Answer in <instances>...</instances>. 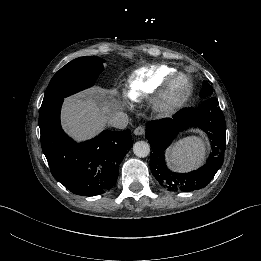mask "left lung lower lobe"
<instances>
[{
    "instance_id": "0a47b994",
    "label": "left lung lower lobe",
    "mask_w": 261,
    "mask_h": 261,
    "mask_svg": "<svg viewBox=\"0 0 261 261\" xmlns=\"http://www.w3.org/2000/svg\"><path fill=\"white\" fill-rule=\"evenodd\" d=\"M189 127H199L211 140L212 152L206 163L189 173L170 171L164 161V151L176 134ZM145 137L153 152L150 168L159 185L173 192H190L204 188L223 164L226 147V123L217 98L209 96L196 108L182 109L173 118L150 121Z\"/></svg>"
}]
</instances>
